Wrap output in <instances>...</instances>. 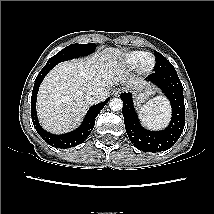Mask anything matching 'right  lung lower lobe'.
<instances>
[{"label":"right lung lower lobe","instance_id":"1","mask_svg":"<svg viewBox=\"0 0 214 214\" xmlns=\"http://www.w3.org/2000/svg\"><path fill=\"white\" fill-rule=\"evenodd\" d=\"M56 65L53 64H46L43 69L40 71L38 74L35 83H34V88L32 91V96H31V116H32V122L37 130L38 134L50 145L57 147V148H70L77 146L81 144L87 137L90 135L94 124H95V118L99 114V112L103 109L105 104L109 101V98H107L104 102H101L97 105L92 106L82 124L80 125L79 128L76 130L62 134V135H55L51 134L47 131H45L42 126L39 124L38 118H37V113H36V99H37V93L39 86L44 79V77L48 74V72Z\"/></svg>","mask_w":214,"mask_h":214}]
</instances>
